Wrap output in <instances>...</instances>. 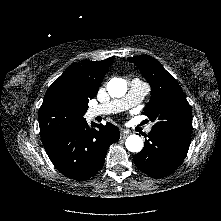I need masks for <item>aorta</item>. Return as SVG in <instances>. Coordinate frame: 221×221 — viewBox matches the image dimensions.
I'll use <instances>...</instances> for the list:
<instances>
[{"label": "aorta", "instance_id": "obj_1", "mask_svg": "<svg viewBox=\"0 0 221 221\" xmlns=\"http://www.w3.org/2000/svg\"><path fill=\"white\" fill-rule=\"evenodd\" d=\"M127 89V82L122 78H112L107 84V91L112 97H123ZM125 146L130 152L138 153L143 148V140L139 135L133 134L127 137Z\"/></svg>", "mask_w": 221, "mask_h": 221}]
</instances>
